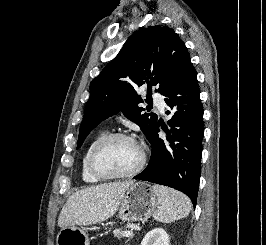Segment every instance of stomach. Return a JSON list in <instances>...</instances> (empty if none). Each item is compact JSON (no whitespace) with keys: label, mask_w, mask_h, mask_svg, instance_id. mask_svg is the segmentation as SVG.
Masks as SVG:
<instances>
[{"label":"stomach","mask_w":266,"mask_h":245,"mask_svg":"<svg viewBox=\"0 0 266 245\" xmlns=\"http://www.w3.org/2000/svg\"><path fill=\"white\" fill-rule=\"evenodd\" d=\"M158 199L148 183H134L120 201L118 215L121 221H146L154 215ZM57 245H90L83 227H63L57 237Z\"/></svg>","instance_id":"stomach-1"}]
</instances>
